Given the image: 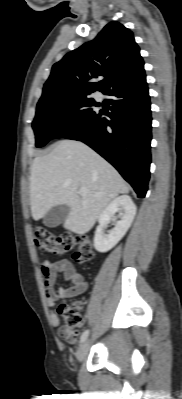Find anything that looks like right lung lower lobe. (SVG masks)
Masks as SVG:
<instances>
[{
  "instance_id": "98d812e1",
  "label": "right lung lower lobe",
  "mask_w": 182,
  "mask_h": 399,
  "mask_svg": "<svg viewBox=\"0 0 182 399\" xmlns=\"http://www.w3.org/2000/svg\"><path fill=\"white\" fill-rule=\"evenodd\" d=\"M110 112L96 113L81 129L62 137L86 143L109 161L139 198L148 189L151 163V110L145 74L113 85Z\"/></svg>"
}]
</instances>
